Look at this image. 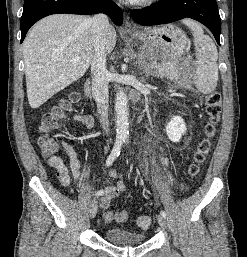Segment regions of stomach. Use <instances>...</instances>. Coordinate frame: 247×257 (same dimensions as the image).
<instances>
[{"mask_svg":"<svg viewBox=\"0 0 247 257\" xmlns=\"http://www.w3.org/2000/svg\"><path fill=\"white\" fill-rule=\"evenodd\" d=\"M129 36L137 43V52H133L132 57L136 58L139 66L148 68L169 63L174 67V72L169 75L171 80L184 87L195 83V76H188L179 64L187 45V37L179 28L173 25L145 28L136 33H130Z\"/></svg>","mask_w":247,"mask_h":257,"instance_id":"1","label":"stomach"}]
</instances>
